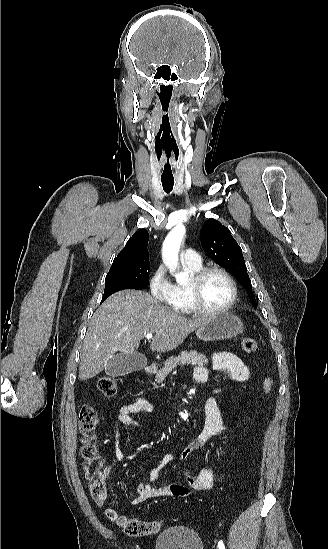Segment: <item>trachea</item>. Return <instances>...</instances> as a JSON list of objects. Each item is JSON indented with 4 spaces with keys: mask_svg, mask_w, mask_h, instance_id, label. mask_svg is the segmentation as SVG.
Returning <instances> with one entry per match:
<instances>
[{
    "mask_svg": "<svg viewBox=\"0 0 328 549\" xmlns=\"http://www.w3.org/2000/svg\"><path fill=\"white\" fill-rule=\"evenodd\" d=\"M163 189L166 193H170L173 189L174 180H161Z\"/></svg>",
    "mask_w": 328,
    "mask_h": 549,
    "instance_id": "obj_1",
    "label": "trachea"
}]
</instances>
